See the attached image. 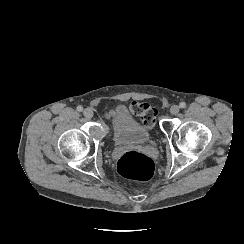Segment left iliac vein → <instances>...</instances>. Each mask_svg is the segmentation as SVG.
<instances>
[{"label":"left iliac vein","instance_id":"left-iliac-vein-1","mask_svg":"<svg viewBox=\"0 0 244 244\" xmlns=\"http://www.w3.org/2000/svg\"><path fill=\"white\" fill-rule=\"evenodd\" d=\"M170 113L173 114V115H176L179 113V106L177 105H172L170 107Z\"/></svg>","mask_w":244,"mask_h":244}]
</instances>
